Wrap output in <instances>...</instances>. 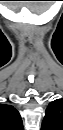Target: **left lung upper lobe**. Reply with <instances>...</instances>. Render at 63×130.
<instances>
[{
    "instance_id": "5c2ea615",
    "label": "left lung upper lobe",
    "mask_w": 63,
    "mask_h": 130,
    "mask_svg": "<svg viewBox=\"0 0 63 130\" xmlns=\"http://www.w3.org/2000/svg\"><path fill=\"white\" fill-rule=\"evenodd\" d=\"M41 130H63V99L54 100L48 105Z\"/></svg>"
}]
</instances>
